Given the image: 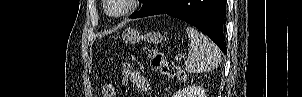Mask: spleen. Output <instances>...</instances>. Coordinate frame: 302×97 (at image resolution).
Here are the masks:
<instances>
[{
    "label": "spleen",
    "instance_id": "spleen-1",
    "mask_svg": "<svg viewBox=\"0 0 302 97\" xmlns=\"http://www.w3.org/2000/svg\"><path fill=\"white\" fill-rule=\"evenodd\" d=\"M186 32L191 40L185 71L204 73L216 69L221 62V53L210 39L194 27H187Z\"/></svg>",
    "mask_w": 302,
    "mask_h": 97
}]
</instances>
